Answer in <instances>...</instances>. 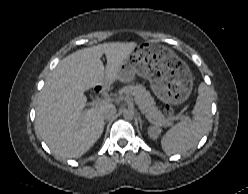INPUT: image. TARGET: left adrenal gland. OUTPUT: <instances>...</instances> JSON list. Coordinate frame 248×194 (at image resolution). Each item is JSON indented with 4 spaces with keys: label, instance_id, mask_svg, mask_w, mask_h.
<instances>
[{
    "label": "left adrenal gland",
    "instance_id": "a2214340",
    "mask_svg": "<svg viewBox=\"0 0 248 194\" xmlns=\"http://www.w3.org/2000/svg\"><path fill=\"white\" fill-rule=\"evenodd\" d=\"M139 122H140V125L142 124V120H141V118L139 117Z\"/></svg>",
    "mask_w": 248,
    "mask_h": 194
}]
</instances>
